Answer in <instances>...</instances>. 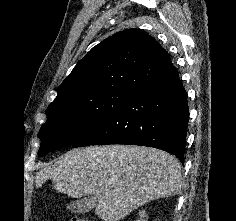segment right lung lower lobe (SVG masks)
I'll return each instance as SVG.
<instances>
[{
	"mask_svg": "<svg viewBox=\"0 0 236 221\" xmlns=\"http://www.w3.org/2000/svg\"><path fill=\"white\" fill-rule=\"evenodd\" d=\"M189 109L176 67L140 88L73 147L129 144L158 148L183 164Z\"/></svg>",
	"mask_w": 236,
	"mask_h": 221,
	"instance_id": "1",
	"label": "right lung lower lobe"
}]
</instances>
